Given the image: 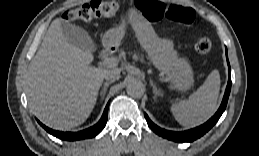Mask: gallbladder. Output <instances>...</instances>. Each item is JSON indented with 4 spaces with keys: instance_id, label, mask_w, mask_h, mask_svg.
Here are the masks:
<instances>
[{
    "instance_id": "1",
    "label": "gallbladder",
    "mask_w": 259,
    "mask_h": 156,
    "mask_svg": "<svg viewBox=\"0 0 259 156\" xmlns=\"http://www.w3.org/2000/svg\"><path fill=\"white\" fill-rule=\"evenodd\" d=\"M61 28L65 39L83 50L94 51L95 45L89 34L80 26L64 21Z\"/></svg>"
}]
</instances>
